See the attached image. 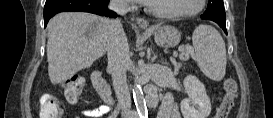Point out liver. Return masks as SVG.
I'll return each mask as SVG.
<instances>
[{"instance_id":"6515ba94","label":"liver","mask_w":273,"mask_h":118,"mask_svg":"<svg viewBox=\"0 0 273 118\" xmlns=\"http://www.w3.org/2000/svg\"><path fill=\"white\" fill-rule=\"evenodd\" d=\"M110 20L85 12H62L48 23L47 60L52 84L89 68L107 50Z\"/></svg>"}]
</instances>
